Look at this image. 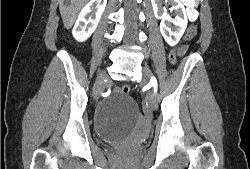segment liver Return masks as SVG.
<instances>
[{
	"mask_svg": "<svg viewBox=\"0 0 250 169\" xmlns=\"http://www.w3.org/2000/svg\"><path fill=\"white\" fill-rule=\"evenodd\" d=\"M88 0H59V10L64 22L65 28L73 26L78 12L87 4Z\"/></svg>",
	"mask_w": 250,
	"mask_h": 169,
	"instance_id": "6515ba94",
	"label": "liver"
}]
</instances>
